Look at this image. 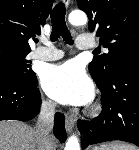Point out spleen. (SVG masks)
I'll list each match as a JSON object with an SVG mask.
<instances>
[{
    "label": "spleen",
    "instance_id": "3e777b00",
    "mask_svg": "<svg viewBox=\"0 0 139 150\" xmlns=\"http://www.w3.org/2000/svg\"><path fill=\"white\" fill-rule=\"evenodd\" d=\"M111 150H136L133 146L122 142H115L110 145Z\"/></svg>",
    "mask_w": 139,
    "mask_h": 150
}]
</instances>
